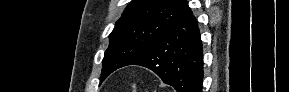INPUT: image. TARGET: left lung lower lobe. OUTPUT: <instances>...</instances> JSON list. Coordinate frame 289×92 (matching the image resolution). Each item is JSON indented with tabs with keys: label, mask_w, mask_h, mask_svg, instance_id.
Returning a JSON list of instances; mask_svg holds the SVG:
<instances>
[{
	"label": "left lung lower lobe",
	"mask_w": 289,
	"mask_h": 92,
	"mask_svg": "<svg viewBox=\"0 0 289 92\" xmlns=\"http://www.w3.org/2000/svg\"><path fill=\"white\" fill-rule=\"evenodd\" d=\"M202 53L197 20L188 7L176 22L125 66L146 67L177 92H202Z\"/></svg>",
	"instance_id": "0a47b994"
}]
</instances>
